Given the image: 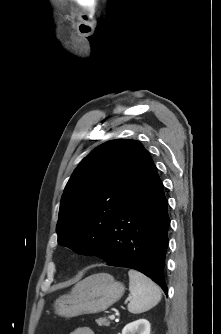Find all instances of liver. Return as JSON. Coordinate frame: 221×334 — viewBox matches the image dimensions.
<instances>
[{
    "label": "liver",
    "mask_w": 221,
    "mask_h": 334,
    "mask_svg": "<svg viewBox=\"0 0 221 334\" xmlns=\"http://www.w3.org/2000/svg\"><path fill=\"white\" fill-rule=\"evenodd\" d=\"M81 284H82V281L79 282V283H77V284L75 285V287L73 288V291L76 290V289H78V288L81 286Z\"/></svg>",
    "instance_id": "liver-1"
}]
</instances>
